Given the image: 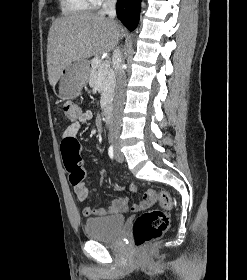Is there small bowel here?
<instances>
[{"label": "small bowel", "instance_id": "obj_1", "mask_svg": "<svg viewBox=\"0 0 247 280\" xmlns=\"http://www.w3.org/2000/svg\"><path fill=\"white\" fill-rule=\"evenodd\" d=\"M92 119V113L90 111L80 112V115L77 120L73 121L69 124L62 133L63 140L65 139H76V135L80 130L81 124L88 123ZM75 194L80 202H85L88 197L87 191H75ZM154 201H146L145 198L139 204L133 206L132 208L129 206L128 199L124 196L118 197L113 200L111 206L108 209L104 208H91L84 207L82 209V213L86 217L90 216H105L107 214H116L119 212H127L129 210H140L144 207L151 205Z\"/></svg>", "mask_w": 247, "mask_h": 280}]
</instances>
